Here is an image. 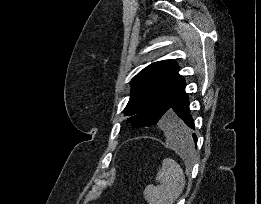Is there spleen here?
I'll use <instances>...</instances> for the list:
<instances>
[{
    "label": "spleen",
    "mask_w": 261,
    "mask_h": 204,
    "mask_svg": "<svg viewBox=\"0 0 261 204\" xmlns=\"http://www.w3.org/2000/svg\"><path fill=\"white\" fill-rule=\"evenodd\" d=\"M167 141L179 153L185 154L193 151V141H176L167 136ZM156 180L160 183L157 186L149 184L145 187L144 197L149 204H173L181 195L185 187V176L180 165L171 158L162 161Z\"/></svg>",
    "instance_id": "obj_1"
}]
</instances>
